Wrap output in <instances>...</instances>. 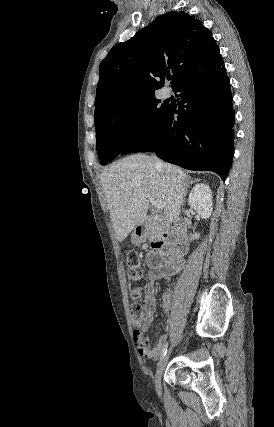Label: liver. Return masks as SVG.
Wrapping results in <instances>:
<instances>
[{
    "label": "liver",
    "instance_id": "liver-1",
    "mask_svg": "<svg viewBox=\"0 0 274 427\" xmlns=\"http://www.w3.org/2000/svg\"><path fill=\"white\" fill-rule=\"evenodd\" d=\"M100 178L118 241L143 223L149 198L162 200L166 219L176 221L190 184L189 176L181 168L172 164L156 168L153 158L145 154L114 162Z\"/></svg>",
    "mask_w": 274,
    "mask_h": 427
}]
</instances>
